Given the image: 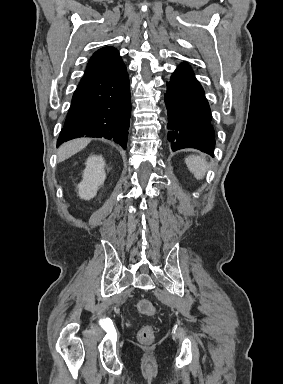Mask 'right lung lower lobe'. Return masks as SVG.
Instances as JSON below:
<instances>
[{"label":"right lung lower lobe","instance_id":"98d812e1","mask_svg":"<svg viewBox=\"0 0 283 384\" xmlns=\"http://www.w3.org/2000/svg\"><path fill=\"white\" fill-rule=\"evenodd\" d=\"M130 114L129 78L123 62L85 73L73 94L57 146L86 136L104 137L126 148Z\"/></svg>","mask_w":283,"mask_h":384}]
</instances>
